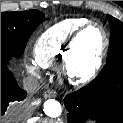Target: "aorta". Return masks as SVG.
Returning a JSON list of instances; mask_svg holds the SVG:
<instances>
[{"mask_svg": "<svg viewBox=\"0 0 123 123\" xmlns=\"http://www.w3.org/2000/svg\"><path fill=\"white\" fill-rule=\"evenodd\" d=\"M62 107L60 103L54 99H49L44 103V112L51 118H56L61 114Z\"/></svg>", "mask_w": 123, "mask_h": 123, "instance_id": "762f6f07", "label": "aorta"}]
</instances>
